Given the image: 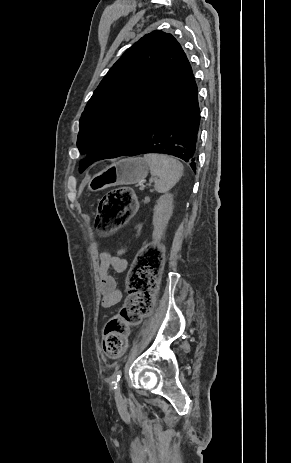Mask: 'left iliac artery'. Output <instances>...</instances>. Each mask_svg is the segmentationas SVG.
<instances>
[{
    "instance_id": "left-iliac-artery-1",
    "label": "left iliac artery",
    "mask_w": 291,
    "mask_h": 463,
    "mask_svg": "<svg viewBox=\"0 0 291 463\" xmlns=\"http://www.w3.org/2000/svg\"><path fill=\"white\" fill-rule=\"evenodd\" d=\"M121 375H122V371L121 370H118L114 373L113 375V381L111 383V386H112V389H116L117 388V383L120 381V378H121Z\"/></svg>"
}]
</instances>
